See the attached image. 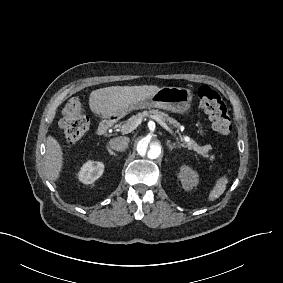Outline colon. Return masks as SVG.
Wrapping results in <instances>:
<instances>
[{"label": "colon", "instance_id": "1", "mask_svg": "<svg viewBox=\"0 0 283 283\" xmlns=\"http://www.w3.org/2000/svg\"><path fill=\"white\" fill-rule=\"evenodd\" d=\"M199 108L207 113L214 131L218 135H228L231 132L229 109L220 94L207 85H202L197 91ZM64 140L67 144L77 143L88 131L89 120L78 100L67 103L62 111L60 121Z\"/></svg>", "mask_w": 283, "mask_h": 283}]
</instances>
